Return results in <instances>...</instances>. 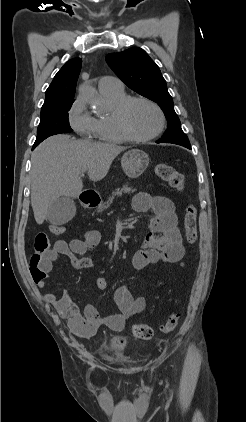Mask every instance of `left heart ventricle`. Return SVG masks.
I'll list each match as a JSON object with an SVG mask.
<instances>
[{
    "instance_id": "left-heart-ventricle-1",
    "label": "left heart ventricle",
    "mask_w": 246,
    "mask_h": 422,
    "mask_svg": "<svg viewBox=\"0 0 246 422\" xmlns=\"http://www.w3.org/2000/svg\"><path fill=\"white\" fill-rule=\"evenodd\" d=\"M127 122L136 135L147 136L158 128L159 115L149 104L136 102L131 105L127 112Z\"/></svg>"
}]
</instances>
